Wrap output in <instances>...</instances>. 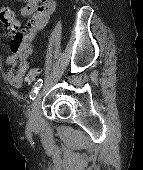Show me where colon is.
I'll return each mask as SVG.
<instances>
[{"mask_svg": "<svg viewBox=\"0 0 143 170\" xmlns=\"http://www.w3.org/2000/svg\"><path fill=\"white\" fill-rule=\"evenodd\" d=\"M7 21L9 22V18L7 19ZM39 73L40 69L38 67L31 68L26 77L27 82L35 81Z\"/></svg>", "mask_w": 143, "mask_h": 170, "instance_id": "5ec220e1", "label": "colon"}]
</instances>
